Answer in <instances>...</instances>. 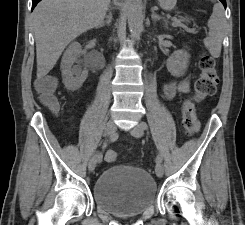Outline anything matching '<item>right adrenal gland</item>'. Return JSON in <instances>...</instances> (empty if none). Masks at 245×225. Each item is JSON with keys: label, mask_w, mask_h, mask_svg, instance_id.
Masks as SVG:
<instances>
[{"label": "right adrenal gland", "mask_w": 245, "mask_h": 225, "mask_svg": "<svg viewBox=\"0 0 245 225\" xmlns=\"http://www.w3.org/2000/svg\"><path fill=\"white\" fill-rule=\"evenodd\" d=\"M111 22H112V14L109 13V14L106 16V20L102 21V22L96 27V29L101 28V27H104L105 25L110 26Z\"/></svg>", "instance_id": "obj_1"}]
</instances>
